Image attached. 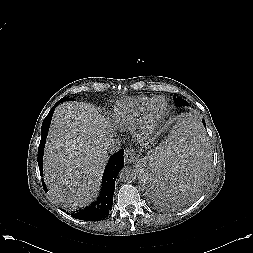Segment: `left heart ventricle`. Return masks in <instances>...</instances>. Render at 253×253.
Instances as JSON below:
<instances>
[{
    "instance_id": "b2bd125f",
    "label": "left heart ventricle",
    "mask_w": 253,
    "mask_h": 253,
    "mask_svg": "<svg viewBox=\"0 0 253 253\" xmlns=\"http://www.w3.org/2000/svg\"><path fill=\"white\" fill-rule=\"evenodd\" d=\"M165 107H166L165 101L160 99L156 101L155 104L153 105L152 113L154 115H161L164 112Z\"/></svg>"
}]
</instances>
